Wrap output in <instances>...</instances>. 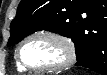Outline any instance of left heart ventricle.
<instances>
[{
    "label": "left heart ventricle",
    "instance_id": "b2bd125f",
    "mask_svg": "<svg viewBox=\"0 0 107 75\" xmlns=\"http://www.w3.org/2000/svg\"><path fill=\"white\" fill-rule=\"evenodd\" d=\"M22 57L29 65L41 67L60 63L65 59V51L52 39L36 37L25 44Z\"/></svg>",
    "mask_w": 107,
    "mask_h": 75
}]
</instances>
